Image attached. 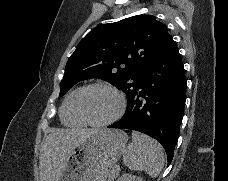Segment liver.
Instances as JSON below:
<instances>
[{
	"mask_svg": "<svg viewBox=\"0 0 228 181\" xmlns=\"http://www.w3.org/2000/svg\"><path fill=\"white\" fill-rule=\"evenodd\" d=\"M95 131L103 129H52L40 153V181H60L70 153Z\"/></svg>",
	"mask_w": 228,
	"mask_h": 181,
	"instance_id": "liver-1",
	"label": "liver"
}]
</instances>
